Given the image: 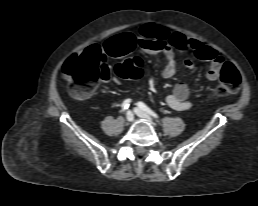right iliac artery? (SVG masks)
<instances>
[{"instance_id": "82829eb1", "label": "right iliac artery", "mask_w": 258, "mask_h": 206, "mask_svg": "<svg viewBox=\"0 0 258 206\" xmlns=\"http://www.w3.org/2000/svg\"><path fill=\"white\" fill-rule=\"evenodd\" d=\"M130 103H131V99H126V100L123 101V103H122L123 111L128 109V107L130 106Z\"/></svg>"}]
</instances>
